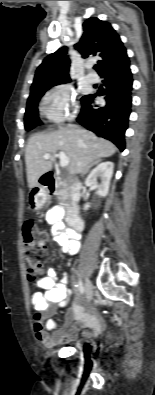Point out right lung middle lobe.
Instances as JSON below:
<instances>
[{"instance_id":"right-lung-middle-lobe-1","label":"right lung middle lobe","mask_w":155,"mask_h":395,"mask_svg":"<svg viewBox=\"0 0 155 395\" xmlns=\"http://www.w3.org/2000/svg\"><path fill=\"white\" fill-rule=\"evenodd\" d=\"M67 82H70V81H65L62 83H67ZM62 83H58V84H62ZM58 84H55V85H58ZM55 85H51V86H48V87L40 90L38 93H36L35 95H33L31 98L28 99L27 108H26V112H25V122H24L26 130H31L34 127L42 124L38 118L37 105H38L40 98L44 95L45 91Z\"/></svg>"}]
</instances>
